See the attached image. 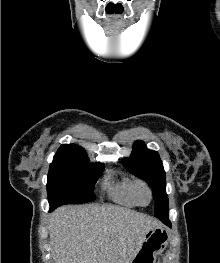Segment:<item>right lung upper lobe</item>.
<instances>
[{
  "label": "right lung upper lobe",
  "instance_id": "1",
  "mask_svg": "<svg viewBox=\"0 0 220 263\" xmlns=\"http://www.w3.org/2000/svg\"><path fill=\"white\" fill-rule=\"evenodd\" d=\"M57 153H83L86 154L84 149L73 144H64L62 145Z\"/></svg>",
  "mask_w": 220,
  "mask_h": 263
}]
</instances>
